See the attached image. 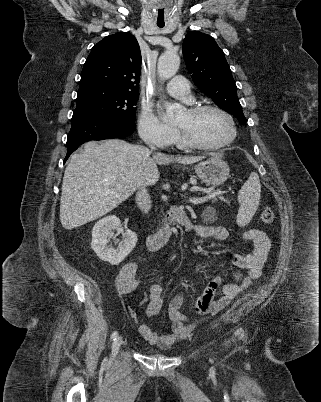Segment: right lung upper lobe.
<instances>
[{
    "mask_svg": "<svg viewBox=\"0 0 321 402\" xmlns=\"http://www.w3.org/2000/svg\"><path fill=\"white\" fill-rule=\"evenodd\" d=\"M141 52L128 32L105 37L91 50L81 74L80 87L98 86L139 94Z\"/></svg>",
    "mask_w": 321,
    "mask_h": 402,
    "instance_id": "right-lung-upper-lobe-1",
    "label": "right lung upper lobe"
}]
</instances>
